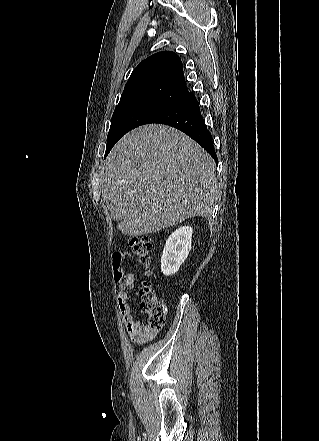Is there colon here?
<instances>
[{"label": "colon", "instance_id": "obj_1", "mask_svg": "<svg viewBox=\"0 0 319 441\" xmlns=\"http://www.w3.org/2000/svg\"><path fill=\"white\" fill-rule=\"evenodd\" d=\"M130 247L137 257L138 261L148 267L151 261L153 251V242L148 236H138L130 240ZM114 281L116 287L121 289L123 287L124 272L121 265H113ZM141 296L140 307L148 317L149 326L153 328H161L166 319L167 307L165 303L160 300L152 287L143 283L139 290Z\"/></svg>", "mask_w": 319, "mask_h": 441}]
</instances>
